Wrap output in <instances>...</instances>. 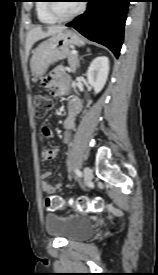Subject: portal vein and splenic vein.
Here are the masks:
<instances>
[{
    "instance_id": "18ae733b",
    "label": "portal vein and splenic vein",
    "mask_w": 158,
    "mask_h": 275,
    "mask_svg": "<svg viewBox=\"0 0 158 275\" xmlns=\"http://www.w3.org/2000/svg\"><path fill=\"white\" fill-rule=\"evenodd\" d=\"M72 54L77 55L78 52L77 51H72Z\"/></svg>"
}]
</instances>
